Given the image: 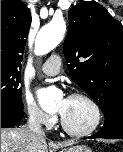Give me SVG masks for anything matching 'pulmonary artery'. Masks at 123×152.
<instances>
[{
	"label": "pulmonary artery",
	"mask_w": 123,
	"mask_h": 152,
	"mask_svg": "<svg viewBox=\"0 0 123 152\" xmlns=\"http://www.w3.org/2000/svg\"><path fill=\"white\" fill-rule=\"evenodd\" d=\"M61 67V58L57 54L51 55L41 66V71L49 76L59 73Z\"/></svg>",
	"instance_id": "1"
}]
</instances>
